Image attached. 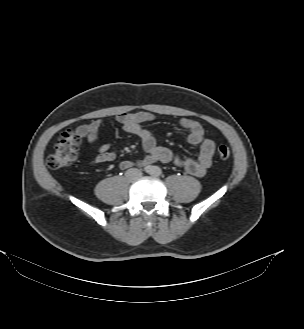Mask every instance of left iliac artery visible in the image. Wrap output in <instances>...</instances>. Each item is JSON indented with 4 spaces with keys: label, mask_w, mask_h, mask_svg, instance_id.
I'll return each mask as SVG.
<instances>
[{
    "label": "left iliac artery",
    "mask_w": 304,
    "mask_h": 329,
    "mask_svg": "<svg viewBox=\"0 0 304 329\" xmlns=\"http://www.w3.org/2000/svg\"><path fill=\"white\" fill-rule=\"evenodd\" d=\"M154 173H155V174H159V173H160L159 169H156V170L154 171Z\"/></svg>",
    "instance_id": "left-iliac-artery-1"
}]
</instances>
